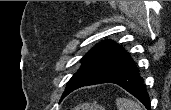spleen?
Returning a JSON list of instances; mask_svg holds the SVG:
<instances>
[{
  "label": "spleen",
  "mask_w": 171,
  "mask_h": 110,
  "mask_svg": "<svg viewBox=\"0 0 171 110\" xmlns=\"http://www.w3.org/2000/svg\"><path fill=\"white\" fill-rule=\"evenodd\" d=\"M117 109L118 110H142L139 103L129 99L120 97L117 99Z\"/></svg>",
  "instance_id": "spleen-1"
}]
</instances>
